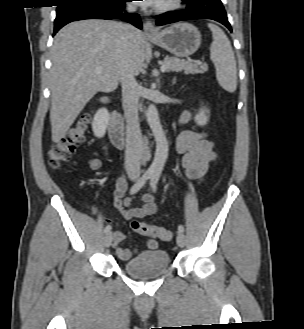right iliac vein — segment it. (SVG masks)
<instances>
[{
	"label": "right iliac vein",
	"mask_w": 304,
	"mask_h": 329,
	"mask_svg": "<svg viewBox=\"0 0 304 329\" xmlns=\"http://www.w3.org/2000/svg\"><path fill=\"white\" fill-rule=\"evenodd\" d=\"M112 240H113V235L112 232H108L105 235V239H104V244L106 247H109L112 244Z\"/></svg>",
	"instance_id": "right-iliac-vein-1"
}]
</instances>
